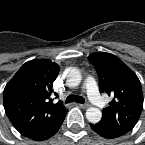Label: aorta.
I'll list each match as a JSON object with an SVG mask.
<instances>
[{"instance_id":"aorta-1","label":"aorta","mask_w":145,"mask_h":145,"mask_svg":"<svg viewBox=\"0 0 145 145\" xmlns=\"http://www.w3.org/2000/svg\"><path fill=\"white\" fill-rule=\"evenodd\" d=\"M63 76L66 78L68 87H76L80 84L82 77L77 68L70 67L64 71ZM102 112L96 107H90L86 110V118L90 123H98L101 120Z\"/></svg>"}]
</instances>
